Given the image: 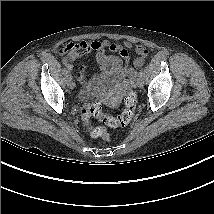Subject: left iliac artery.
Returning <instances> with one entry per match:
<instances>
[{
  "mask_svg": "<svg viewBox=\"0 0 214 214\" xmlns=\"http://www.w3.org/2000/svg\"><path fill=\"white\" fill-rule=\"evenodd\" d=\"M142 74H143V73L140 71L138 75L141 77V76H142Z\"/></svg>",
  "mask_w": 214,
  "mask_h": 214,
  "instance_id": "left-iliac-artery-1",
  "label": "left iliac artery"
}]
</instances>
